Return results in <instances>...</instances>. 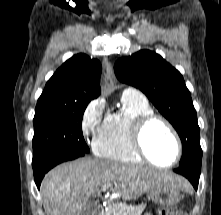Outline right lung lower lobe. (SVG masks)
<instances>
[{
  "label": "right lung lower lobe",
  "mask_w": 221,
  "mask_h": 215,
  "mask_svg": "<svg viewBox=\"0 0 221 215\" xmlns=\"http://www.w3.org/2000/svg\"><path fill=\"white\" fill-rule=\"evenodd\" d=\"M87 153L84 152H72V153H61L56 154L45 161L39 163L36 166H33L34 179L37 185V188H40L41 181L44 175L54 166L69 160L76 159L78 157L85 156Z\"/></svg>",
  "instance_id": "98d812e1"
}]
</instances>
